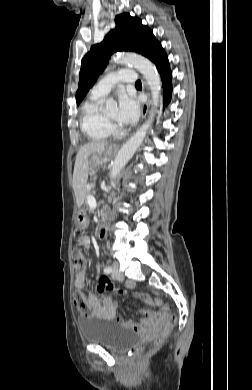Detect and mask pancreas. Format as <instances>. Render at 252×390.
I'll return each mask as SVG.
<instances>
[{
	"mask_svg": "<svg viewBox=\"0 0 252 390\" xmlns=\"http://www.w3.org/2000/svg\"><path fill=\"white\" fill-rule=\"evenodd\" d=\"M83 205H84V207H83V210H84V211H88V210H89V212H93V209L90 208V207H88V206L90 205V202H89V201H84V202H83Z\"/></svg>",
	"mask_w": 252,
	"mask_h": 390,
	"instance_id": "obj_1",
	"label": "pancreas"
}]
</instances>
